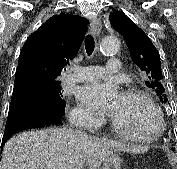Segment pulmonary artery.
Returning a JSON list of instances; mask_svg holds the SVG:
<instances>
[{
	"label": "pulmonary artery",
	"mask_w": 177,
	"mask_h": 169,
	"mask_svg": "<svg viewBox=\"0 0 177 169\" xmlns=\"http://www.w3.org/2000/svg\"><path fill=\"white\" fill-rule=\"evenodd\" d=\"M121 62L116 57H110L107 61V69L101 66H71L72 73L65 76L64 81L69 83L96 81L108 73L119 72Z\"/></svg>",
	"instance_id": "pulmonary-artery-1"
}]
</instances>
